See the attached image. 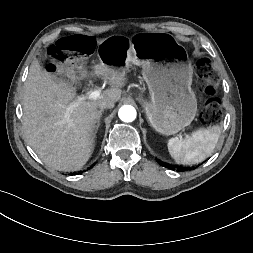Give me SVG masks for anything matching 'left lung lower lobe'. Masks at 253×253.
<instances>
[{
	"label": "left lung lower lobe",
	"mask_w": 253,
	"mask_h": 253,
	"mask_svg": "<svg viewBox=\"0 0 253 253\" xmlns=\"http://www.w3.org/2000/svg\"><path fill=\"white\" fill-rule=\"evenodd\" d=\"M158 162H159L160 165H162L164 167H167V168L171 167V166H169L168 164H166L164 162H161V161H158ZM177 171L182 172V171H184V169H177Z\"/></svg>",
	"instance_id": "1"
}]
</instances>
